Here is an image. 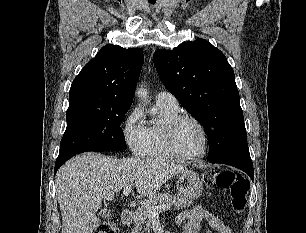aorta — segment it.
Returning a JSON list of instances; mask_svg holds the SVG:
<instances>
[{
	"label": "aorta",
	"mask_w": 306,
	"mask_h": 233,
	"mask_svg": "<svg viewBox=\"0 0 306 233\" xmlns=\"http://www.w3.org/2000/svg\"><path fill=\"white\" fill-rule=\"evenodd\" d=\"M137 94L139 97L143 98V99H146V96H147V92L145 91V89H138L137 90Z\"/></svg>",
	"instance_id": "aorta-1"
}]
</instances>
